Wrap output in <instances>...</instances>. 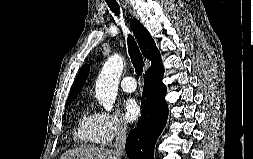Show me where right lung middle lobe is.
<instances>
[{"label":"right lung middle lobe","mask_w":253,"mask_h":159,"mask_svg":"<svg viewBox=\"0 0 253 159\" xmlns=\"http://www.w3.org/2000/svg\"><path fill=\"white\" fill-rule=\"evenodd\" d=\"M73 100L74 99L66 101L65 108H67L72 103ZM65 118H66V116H65Z\"/></svg>","instance_id":"right-lung-middle-lobe-1"}]
</instances>
